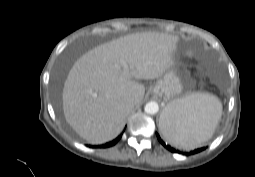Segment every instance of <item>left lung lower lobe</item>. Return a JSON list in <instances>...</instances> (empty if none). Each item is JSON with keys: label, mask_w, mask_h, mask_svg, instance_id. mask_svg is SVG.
Wrapping results in <instances>:
<instances>
[{"label": "left lung lower lobe", "mask_w": 255, "mask_h": 177, "mask_svg": "<svg viewBox=\"0 0 255 177\" xmlns=\"http://www.w3.org/2000/svg\"><path fill=\"white\" fill-rule=\"evenodd\" d=\"M157 135V138L159 140V142L166 148L168 149L170 152H173V153H179V154H183V155H186V156H189V155H193V154H196V153H199L203 150H205V147H202V148H198V149H195L193 151H190V152H183V151H180L178 149H175L174 147L166 144L160 137L158 134Z\"/></svg>", "instance_id": "obj_1"}]
</instances>
